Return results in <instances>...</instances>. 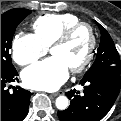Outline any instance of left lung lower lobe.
Masks as SVG:
<instances>
[{
    "mask_svg": "<svg viewBox=\"0 0 121 121\" xmlns=\"http://www.w3.org/2000/svg\"><path fill=\"white\" fill-rule=\"evenodd\" d=\"M83 93L66 92L70 106L58 112L61 121H100L113 106L121 86L120 75L92 74L80 81Z\"/></svg>",
    "mask_w": 121,
    "mask_h": 121,
    "instance_id": "left-lung-lower-lobe-1",
    "label": "left lung lower lobe"
}]
</instances>
